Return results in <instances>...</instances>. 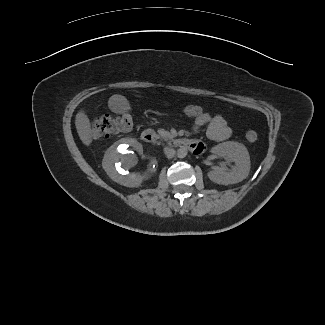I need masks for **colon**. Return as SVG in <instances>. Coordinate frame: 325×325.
Returning <instances> with one entry per match:
<instances>
[{
  "instance_id": "colon-1",
  "label": "colon",
  "mask_w": 325,
  "mask_h": 325,
  "mask_svg": "<svg viewBox=\"0 0 325 325\" xmlns=\"http://www.w3.org/2000/svg\"><path fill=\"white\" fill-rule=\"evenodd\" d=\"M182 113L191 118L197 119L207 114L206 109L200 105L187 104L181 108ZM133 129L132 115L125 111L119 117L113 118L109 115L97 117L92 122V135L95 139L108 138L117 134L129 133ZM247 140L253 142L258 138L254 130L246 132Z\"/></svg>"
}]
</instances>
